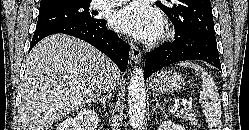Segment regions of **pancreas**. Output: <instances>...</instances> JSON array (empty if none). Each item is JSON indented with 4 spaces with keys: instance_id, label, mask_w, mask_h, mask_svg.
Masks as SVG:
<instances>
[{
    "instance_id": "pancreas-1",
    "label": "pancreas",
    "mask_w": 249,
    "mask_h": 130,
    "mask_svg": "<svg viewBox=\"0 0 249 130\" xmlns=\"http://www.w3.org/2000/svg\"><path fill=\"white\" fill-rule=\"evenodd\" d=\"M177 116L189 121L193 125L198 124L197 115L195 111L189 106L182 108L180 112L177 113Z\"/></svg>"
}]
</instances>
